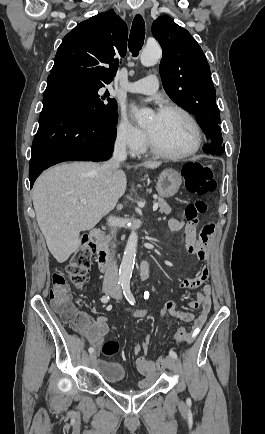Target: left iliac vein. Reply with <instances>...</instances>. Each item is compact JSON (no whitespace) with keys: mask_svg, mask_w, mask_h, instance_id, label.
<instances>
[{"mask_svg":"<svg viewBox=\"0 0 265 434\" xmlns=\"http://www.w3.org/2000/svg\"><path fill=\"white\" fill-rule=\"evenodd\" d=\"M112 297L114 299H121L122 297V290L120 287H115L114 291L111 293ZM164 365L166 368H168L171 371H175L176 370V362L175 359L171 356H167L164 362Z\"/></svg>","mask_w":265,"mask_h":434,"instance_id":"left-iliac-vein-1","label":"left iliac vein"}]
</instances>
